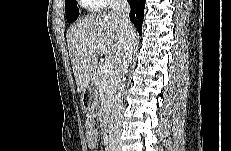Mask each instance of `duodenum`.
Wrapping results in <instances>:
<instances>
[{"instance_id": "1", "label": "duodenum", "mask_w": 231, "mask_h": 151, "mask_svg": "<svg viewBox=\"0 0 231 151\" xmlns=\"http://www.w3.org/2000/svg\"><path fill=\"white\" fill-rule=\"evenodd\" d=\"M108 118H109V111L108 109H106L103 117L104 124L108 121Z\"/></svg>"}]
</instances>
